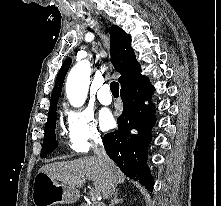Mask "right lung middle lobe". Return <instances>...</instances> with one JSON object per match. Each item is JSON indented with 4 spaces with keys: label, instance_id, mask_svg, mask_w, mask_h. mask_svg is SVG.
<instances>
[{
    "label": "right lung middle lobe",
    "instance_id": "1",
    "mask_svg": "<svg viewBox=\"0 0 221 206\" xmlns=\"http://www.w3.org/2000/svg\"><path fill=\"white\" fill-rule=\"evenodd\" d=\"M56 116H57L56 108L53 109L48 114V119L45 126V134H44L41 157H44L47 154L51 153L57 147V142L55 137Z\"/></svg>",
    "mask_w": 221,
    "mask_h": 206
}]
</instances>
